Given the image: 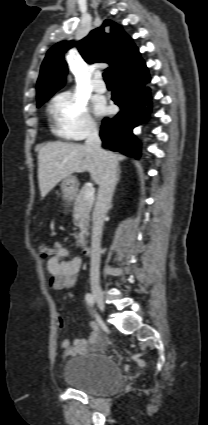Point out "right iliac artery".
<instances>
[{
	"instance_id": "right-iliac-artery-1",
	"label": "right iliac artery",
	"mask_w": 208,
	"mask_h": 425,
	"mask_svg": "<svg viewBox=\"0 0 208 425\" xmlns=\"http://www.w3.org/2000/svg\"><path fill=\"white\" fill-rule=\"evenodd\" d=\"M85 300L90 306L94 305L95 300H94V296L92 294L87 293L86 296H85Z\"/></svg>"
}]
</instances>
